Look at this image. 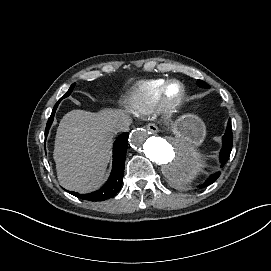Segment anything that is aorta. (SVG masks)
Wrapping results in <instances>:
<instances>
[{"instance_id":"obj_1","label":"aorta","mask_w":271,"mask_h":271,"mask_svg":"<svg viewBox=\"0 0 271 271\" xmlns=\"http://www.w3.org/2000/svg\"><path fill=\"white\" fill-rule=\"evenodd\" d=\"M130 145L159 165L163 175L172 182H188L202 167L197 145L183 136L164 139L137 128L130 135Z\"/></svg>"}]
</instances>
